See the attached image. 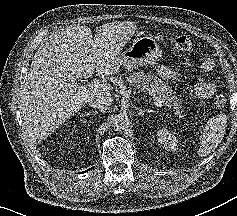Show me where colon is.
<instances>
[{
	"label": "colon",
	"mask_w": 237,
	"mask_h": 216,
	"mask_svg": "<svg viewBox=\"0 0 237 216\" xmlns=\"http://www.w3.org/2000/svg\"><path fill=\"white\" fill-rule=\"evenodd\" d=\"M170 41H171V44L174 46V48H176L178 51H181V52H189L191 51L193 47L192 39L188 35H185V34L173 36L170 39ZM226 103H227V99L225 95L223 94L215 95L214 104L217 107L222 108L226 105Z\"/></svg>",
	"instance_id": "5ec220e1"
}]
</instances>
